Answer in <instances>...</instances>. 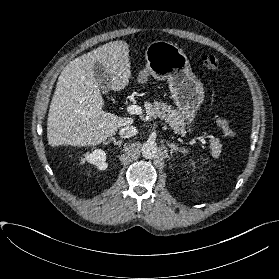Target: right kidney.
Listing matches in <instances>:
<instances>
[{
    "instance_id": "obj_1",
    "label": "right kidney",
    "mask_w": 279,
    "mask_h": 279,
    "mask_svg": "<svg viewBox=\"0 0 279 279\" xmlns=\"http://www.w3.org/2000/svg\"><path fill=\"white\" fill-rule=\"evenodd\" d=\"M90 163L96 166L99 170H105L108 166L106 163V153L102 149H94L91 152H86L81 158V163Z\"/></svg>"
}]
</instances>
